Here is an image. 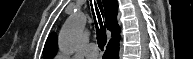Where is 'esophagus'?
Instances as JSON below:
<instances>
[{
  "label": "esophagus",
  "instance_id": "esophagus-1",
  "mask_svg": "<svg viewBox=\"0 0 193 59\" xmlns=\"http://www.w3.org/2000/svg\"><path fill=\"white\" fill-rule=\"evenodd\" d=\"M96 3V1H92V4Z\"/></svg>",
  "mask_w": 193,
  "mask_h": 59
}]
</instances>
